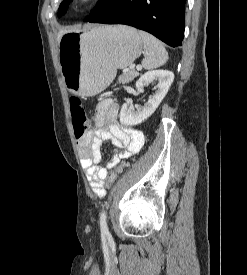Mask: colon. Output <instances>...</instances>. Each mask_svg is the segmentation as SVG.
<instances>
[{
	"mask_svg": "<svg viewBox=\"0 0 247 275\" xmlns=\"http://www.w3.org/2000/svg\"><path fill=\"white\" fill-rule=\"evenodd\" d=\"M70 112L74 134L76 138H81L87 130L88 120L81 101L76 97H72L70 100ZM126 166L127 163H122L109 174L105 182L107 188L116 181L117 177Z\"/></svg>",
	"mask_w": 247,
	"mask_h": 275,
	"instance_id": "obj_1",
	"label": "colon"
}]
</instances>
